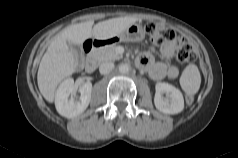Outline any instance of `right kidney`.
Here are the masks:
<instances>
[{
	"label": "right kidney",
	"mask_w": 238,
	"mask_h": 158,
	"mask_svg": "<svg viewBox=\"0 0 238 158\" xmlns=\"http://www.w3.org/2000/svg\"><path fill=\"white\" fill-rule=\"evenodd\" d=\"M76 87L74 80L68 78L64 80L57 89L55 95V106L58 113L66 118H74L83 113L91 100L92 84L84 83L80 88L79 100L74 99Z\"/></svg>",
	"instance_id": "ca27d5eb"
}]
</instances>
